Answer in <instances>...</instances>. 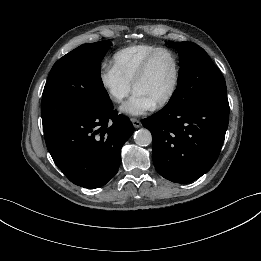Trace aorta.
Wrapping results in <instances>:
<instances>
[{"instance_id":"obj_1","label":"aorta","mask_w":261,"mask_h":261,"mask_svg":"<svg viewBox=\"0 0 261 261\" xmlns=\"http://www.w3.org/2000/svg\"><path fill=\"white\" fill-rule=\"evenodd\" d=\"M134 141L139 146H148L152 143V134L146 128H141L134 134Z\"/></svg>"}]
</instances>
